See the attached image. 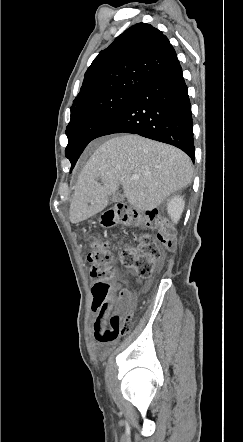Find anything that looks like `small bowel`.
Wrapping results in <instances>:
<instances>
[{"mask_svg": "<svg viewBox=\"0 0 243 442\" xmlns=\"http://www.w3.org/2000/svg\"><path fill=\"white\" fill-rule=\"evenodd\" d=\"M134 300H135L134 293L124 289L120 292L117 298L114 297L111 305L103 306L100 308L92 307V311L95 315L93 320V334L96 342L98 343L103 353H106L108 351V347L112 343V341L101 340V336L107 329L106 328L107 318L110 314L113 305L115 304L114 314H117L121 311H125L128 308H131L134 304Z\"/></svg>", "mask_w": 243, "mask_h": 442, "instance_id": "small-bowel-1", "label": "small bowel"}]
</instances>
